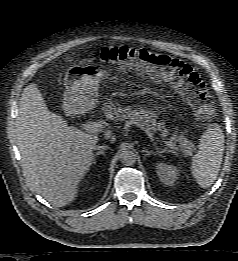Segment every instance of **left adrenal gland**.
<instances>
[{
    "instance_id": "a2214340",
    "label": "left adrenal gland",
    "mask_w": 238,
    "mask_h": 261,
    "mask_svg": "<svg viewBox=\"0 0 238 261\" xmlns=\"http://www.w3.org/2000/svg\"><path fill=\"white\" fill-rule=\"evenodd\" d=\"M142 152H145V156L144 158L150 156V155H155V152L154 151H149L147 149H143Z\"/></svg>"
}]
</instances>
